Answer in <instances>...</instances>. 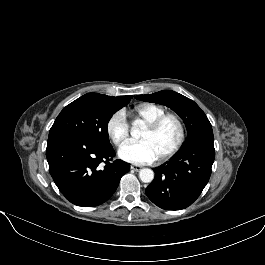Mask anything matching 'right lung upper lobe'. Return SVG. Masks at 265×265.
<instances>
[{"mask_svg":"<svg viewBox=\"0 0 265 265\" xmlns=\"http://www.w3.org/2000/svg\"><path fill=\"white\" fill-rule=\"evenodd\" d=\"M82 98L91 99L108 106H117L128 103L131 97L130 96L111 97L99 93H88L83 95Z\"/></svg>","mask_w":265,"mask_h":265,"instance_id":"right-lung-upper-lobe-1","label":"right lung upper lobe"}]
</instances>
